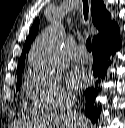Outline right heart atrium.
I'll return each mask as SVG.
<instances>
[{"mask_svg":"<svg viewBox=\"0 0 125 128\" xmlns=\"http://www.w3.org/2000/svg\"><path fill=\"white\" fill-rule=\"evenodd\" d=\"M25 91L34 109L53 112L68 105L70 96L55 74L29 71L25 78Z\"/></svg>","mask_w":125,"mask_h":128,"instance_id":"d8ad5b80","label":"right heart atrium"}]
</instances>
